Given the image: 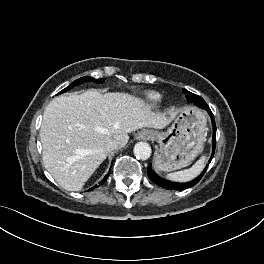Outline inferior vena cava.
I'll return each instance as SVG.
<instances>
[{"label":"inferior vena cava","instance_id":"obj_1","mask_svg":"<svg viewBox=\"0 0 264 264\" xmlns=\"http://www.w3.org/2000/svg\"><path fill=\"white\" fill-rule=\"evenodd\" d=\"M121 143L116 141V140H113V141H110L109 143H107L106 145V149L108 151H113V150H116V149H119L121 148Z\"/></svg>","mask_w":264,"mask_h":264}]
</instances>
